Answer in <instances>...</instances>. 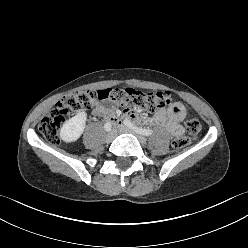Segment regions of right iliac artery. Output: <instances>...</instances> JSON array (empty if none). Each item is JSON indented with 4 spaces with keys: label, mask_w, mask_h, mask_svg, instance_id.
Masks as SVG:
<instances>
[{
    "label": "right iliac artery",
    "mask_w": 248,
    "mask_h": 248,
    "mask_svg": "<svg viewBox=\"0 0 248 248\" xmlns=\"http://www.w3.org/2000/svg\"><path fill=\"white\" fill-rule=\"evenodd\" d=\"M111 128H112V125L110 122H106L105 125H104V129L109 132L111 131Z\"/></svg>",
    "instance_id": "1"
}]
</instances>
